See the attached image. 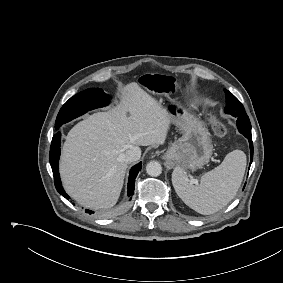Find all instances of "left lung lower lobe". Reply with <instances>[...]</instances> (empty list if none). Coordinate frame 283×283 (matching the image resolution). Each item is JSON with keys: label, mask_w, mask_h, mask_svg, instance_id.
I'll list each match as a JSON object with an SVG mask.
<instances>
[{"label": "left lung lower lobe", "mask_w": 283, "mask_h": 283, "mask_svg": "<svg viewBox=\"0 0 283 283\" xmlns=\"http://www.w3.org/2000/svg\"><path fill=\"white\" fill-rule=\"evenodd\" d=\"M237 127L240 133H242L249 141L250 144V165L253 160V142L251 136V124L247 115L237 116ZM250 168V166H249Z\"/></svg>", "instance_id": "0a47b994"}]
</instances>
